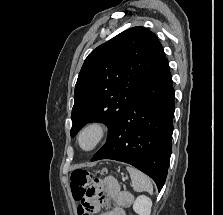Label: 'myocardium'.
Returning <instances> with one entry per match:
<instances>
[{
	"instance_id": "1",
	"label": "myocardium",
	"mask_w": 223,
	"mask_h": 215,
	"mask_svg": "<svg viewBox=\"0 0 223 215\" xmlns=\"http://www.w3.org/2000/svg\"><path fill=\"white\" fill-rule=\"evenodd\" d=\"M107 131V125L101 121L85 124L77 134L78 147L85 152L94 150L105 138Z\"/></svg>"
}]
</instances>
